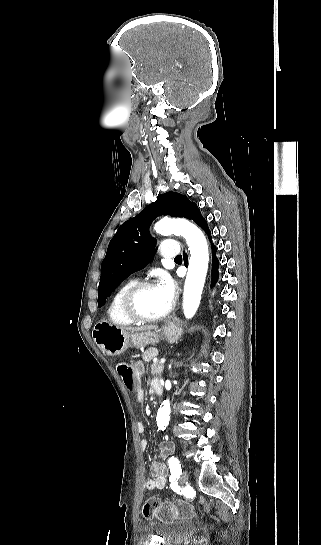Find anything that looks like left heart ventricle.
I'll return each mask as SVG.
<instances>
[{"label": "left heart ventricle", "instance_id": "obj_1", "mask_svg": "<svg viewBox=\"0 0 321 545\" xmlns=\"http://www.w3.org/2000/svg\"><path fill=\"white\" fill-rule=\"evenodd\" d=\"M133 310L141 316H154L166 312L170 304L166 296L156 286L140 292L133 299Z\"/></svg>", "mask_w": 321, "mask_h": 545}]
</instances>
